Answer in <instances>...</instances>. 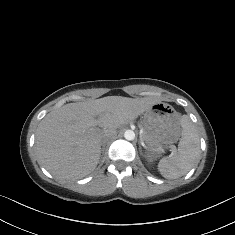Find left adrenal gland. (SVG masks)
<instances>
[{"label":"left adrenal gland","instance_id":"1","mask_svg":"<svg viewBox=\"0 0 235 235\" xmlns=\"http://www.w3.org/2000/svg\"><path fill=\"white\" fill-rule=\"evenodd\" d=\"M139 151L140 153H142V147L139 145Z\"/></svg>","mask_w":235,"mask_h":235}]
</instances>
